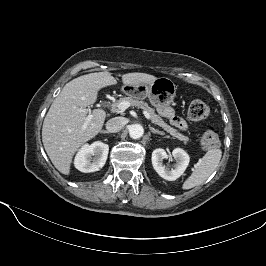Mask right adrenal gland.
I'll list each match as a JSON object with an SVG mask.
<instances>
[{
	"mask_svg": "<svg viewBox=\"0 0 266 266\" xmlns=\"http://www.w3.org/2000/svg\"><path fill=\"white\" fill-rule=\"evenodd\" d=\"M100 133H103V134H110L108 131L106 130H101Z\"/></svg>",
	"mask_w": 266,
	"mask_h": 266,
	"instance_id": "obj_1",
	"label": "right adrenal gland"
}]
</instances>
